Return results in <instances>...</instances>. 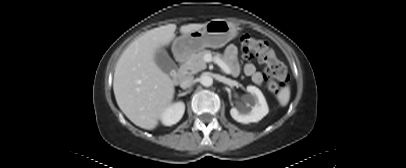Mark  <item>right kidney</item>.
<instances>
[{
    "instance_id": "right-kidney-1",
    "label": "right kidney",
    "mask_w": 406,
    "mask_h": 168,
    "mask_svg": "<svg viewBox=\"0 0 406 168\" xmlns=\"http://www.w3.org/2000/svg\"><path fill=\"white\" fill-rule=\"evenodd\" d=\"M185 112L183 102H177L169 106L161 116V121L166 126H171L180 121Z\"/></svg>"
}]
</instances>
